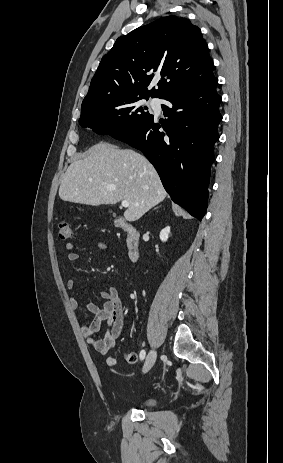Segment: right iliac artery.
Returning a JSON list of instances; mask_svg holds the SVG:
<instances>
[{
  "label": "right iliac artery",
  "mask_w": 283,
  "mask_h": 463,
  "mask_svg": "<svg viewBox=\"0 0 283 463\" xmlns=\"http://www.w3.org/2000/svg\"><path fill=\"white\" fill-rule=\"evenodd\" d=\"M146 352L145 350H141L140 352V359L143 360L145 358Z\"/></svg>",
  "instance_id": "82829eb1"
}]
</instances>
